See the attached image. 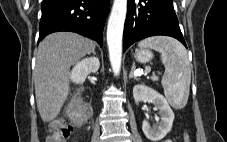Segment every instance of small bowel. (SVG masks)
<instances>
[{"label":"small bowel","mask_w":227,"mask_h":142,"mask_svg":"<svg viewBox=\"0 0 227 142\" xmlns=\"http://www.w3.org/2000/svg\"><path fill=\"white\" fill-rule=\"evenodd\" d=\"M162 142H173L171 139H165Z\"/></svg>","instance_id":"obj_1"}]
</instances>
